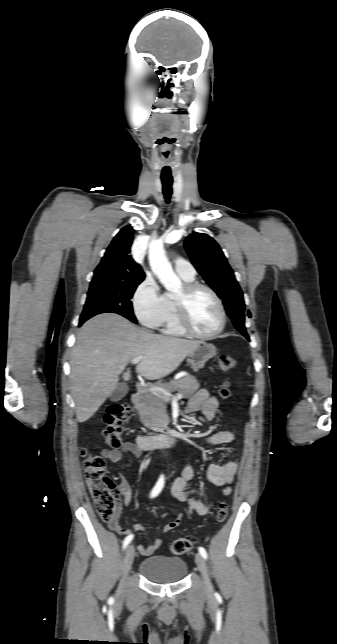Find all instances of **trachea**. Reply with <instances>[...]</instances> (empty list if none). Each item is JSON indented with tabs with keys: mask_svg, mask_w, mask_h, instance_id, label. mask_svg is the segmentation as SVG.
Segmentation results:
<instances>
[{
	"mask_svg": "<svg viewBox=\"0 0 337 644\" xmlns=\"http://www.w3.org/2000/svg\"><path fill=\"white\" fill-rule=\"evenodd\" d=\"M172 180H166L162 179V185H163V194L166 199V203L170 202V198L172 195Z\"/></svg>",
	"mask_w": 337,
	"mask_h": 644,
	"instance_id": "1",
	"label": "trachea"
}]
</instances>
